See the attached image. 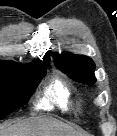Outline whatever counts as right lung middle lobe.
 <instances>
[{
  "instance_id": "dd1d6c3e",
  "label": "right lung middle lobe",
  "mask_w": 117,
  "mask_h": 136,
  "mask_svg": "<svg viewBox=\"0 0 117 136\" xmlns=\"http://www.w3.org/2000/svg\"><path fill=\"white\" fill-rule=\"evenodd\" d=\"M49 62L39 60L30 66L0 63V120L27 104Z\"/></svg>"
}]
</instances>
